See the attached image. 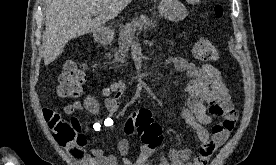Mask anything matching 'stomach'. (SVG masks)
I'll use <instances>...</instances> for the list:
<instances>
[{"mask_svg":"<svg viewBox=\"0 0 276 165\" xmlns=\"http://www.w3.org/2000/svg\"><path fill=\"white\" fill-rule=\"evenodd\" d=\"M158 12L165 19L175 22L188 15L186 7L179 0H160ZM113 35V30L109 28H99L94 32L95 38L100 41L111 39Z\"/></svg>","mask_w":276,"mask_h":165,"instance_id":"obj_1","label":"stomach"}]
</instances>
